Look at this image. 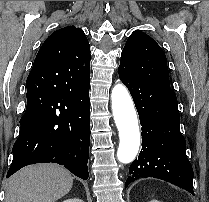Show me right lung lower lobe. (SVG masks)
<instances>
[{
  "instance_id": "obj_1",
  "label": "right lung lower lobe",
  "mask_w": 209,
  "mask_h": 202,
  "mask_svg": "<svg viewBox=\"0 0 209 202\" xmlns=\"http://www.w3.org/2000/svg\"><path fill=\"white\" fill-rule=\"evenodd\" d=\"M34 63L26 80L27 106L7 177L34 163L64 165L86 180L90 145L89 83L76 85Z\"/></svg>"
}]
</instances>
